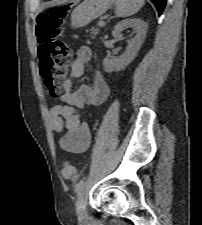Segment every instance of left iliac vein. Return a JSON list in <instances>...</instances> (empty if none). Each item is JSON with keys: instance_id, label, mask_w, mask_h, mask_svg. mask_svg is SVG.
I'll return each instance as SVG.
<instances>
[{"instance_id": "left-iliac-vein-1", "label": "left iliac vein", "mask_w": 202, "mask_h": 225, "mask_svg": "<svg viewBox=\"0 0 202 225\" xmlns=\"http://www.w3.org/2000/svg\"><path fill=\"white\" fill-rule=\"evenodd\" d=\"M77 215L80 221H84L87 218L86 201L84 194H80L76 203Z\"/></svg>"}]
</instances>
